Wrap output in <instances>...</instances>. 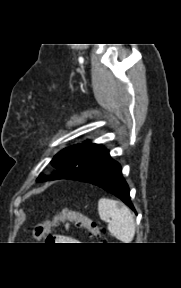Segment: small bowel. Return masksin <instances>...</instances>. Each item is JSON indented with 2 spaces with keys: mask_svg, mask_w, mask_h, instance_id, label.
<instances>
[{
  "mask_svg": "<svg viewBox=\"0 0 181 288\" xmlns=\"http://www.w3.org/2000/svg\"><path fill=\"white\" fill-rule=\"evenodd\" d=\"M56 243H79L75 238L65 236V235H56L54 237Z\"/></svg>",
  "mask_w": 181,
  "mask_h": 288,
  "instance_id": "c3829d8e",
  "label": "small bowel"
}]
</instances>
